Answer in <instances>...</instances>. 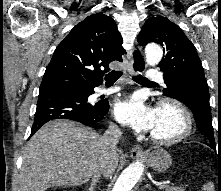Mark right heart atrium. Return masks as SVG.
Here are the masks:
<instances>
[{
    "label": "right heart atrium",
    "instance_id": "right-heart-atrium-1",
    "mask_svg": "<svg viewBox=\"0 0 221 191\" xmlns=\"http://www.w3.org/2000/svg\"><path fill=\"white\" fill-rule=\"evenodd\" d=\"M113 130H114V131H118V128L115 127V126H113Z\"/></svg>",
    "mask_w": 221,
    "mask_h": 191
}]
</instances>
